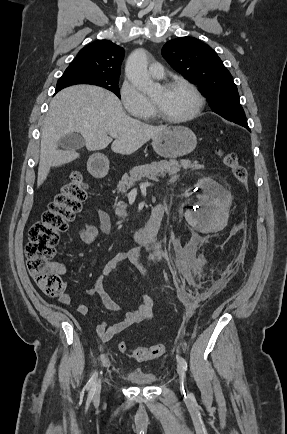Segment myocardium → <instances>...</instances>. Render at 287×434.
Returning a JSON list of instances; mask_svg holds the SVG:
<instances>
[{
	"label": "myocardium",
	"instance_id": "1",
	"mask_svg": "<svg viewBox=\"0 0 287 434\" xmlns=\"http://www.w3.org/2000/svg\"><path fill=\"white\" fill-rule=\"evenodd\" d=\"M174 87H183L190 91V93L193 95L195 99V104L193 109L190 111V113H188L185 116L179 118H171L163 114L159 109V107L156 105V103L152 102L155 116L161 121L169 124H183L195 119L200 114L204 106V98L202 94L200 93V91L197 89L195 85H193L191 82L185 79L169 80L162 85V88L164 89H170Z\"/></svg>",
	"mask_w": 287,
	"mask_h": 434
}]
</instances>
